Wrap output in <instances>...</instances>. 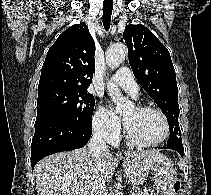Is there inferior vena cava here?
<instances>
[{"label":"inferior vena cava","mask_w":211,"mask_h":195,"mask_svg":"<svg viewBox=\"0 0 211 195\" xmlns=\"http://www.w3.org/2000/svg\"><path fill=\"white\" fill-rule=\"evenodd\" d=\"M89 155L95 162V174L91 181L90 195H106L105 180L99 174L101 168V153L108 150L101 128H95L88 143Z\"/></svg>","instance_id":"1"}]
</instances>
